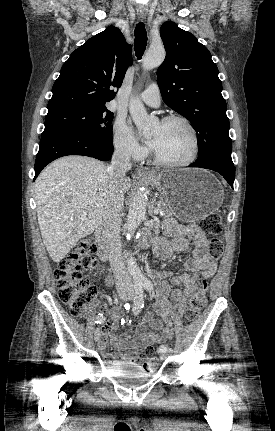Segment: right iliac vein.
<instances>
[{"instance_id": "63e3f726", "label": "right iliac vein", "mask_w": 275, "mask_h": 431, "mask_svg": "<svg viewBox=\"0 0 275 431\" xmlns=\"http://www.w3.org/2000/svg\"><path fill=\"white\" fill-rule=\"evenodd\" d=\"M120 298H121L123 301H128V300H130V299H131V296H130V295H128V294L122 293V294H120ZM100 336H101L100 329H96V330H95V332H94V339H95V341H99Z\"/></svg>"}]
</instances>
